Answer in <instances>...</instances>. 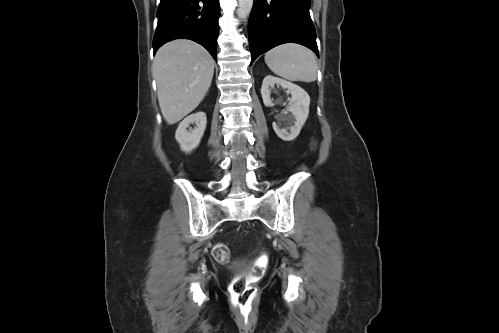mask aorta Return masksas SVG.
<instances>
[{
  "mask_svg": "<svg viewBox=\"0 0 499 333\" xmlns=\"http://www.w3.org/2000/svg\"><path fill=\"white\" fill-rule=\"evenodd\" d=\"M254 0H238L237 16L240 20H246L250 15Z\"/></svg>",
  "mask_w": 499,
  "mask_h": 333,
  "instance_id": "1",
  "label": "aorta"
}]
</instances>
